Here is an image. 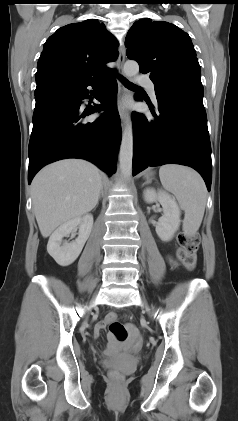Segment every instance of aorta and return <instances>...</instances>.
Instances as JSON below:
<instances>
[{"mask_svg": "<svg viewBox=\"0 0 238 421\" xmlns=\"http://www.w3.org/2000/svg\"><path fill=\"white\" fill-rule=\"evenodd\" d=\"M123 72L126 77H134L139 72V65L134 60H128L124 64ZM133 157V127L131 119H128L122 133L119 162L120 170L124 178L129 179L132 174Z\"/></svg>", "mask_w": 238, "mask_h": 421, "instance_id": "762f6f07", "label": "aorta"}]
</instances>
